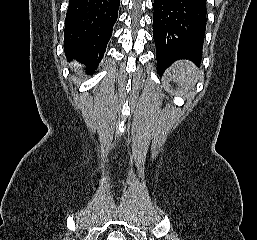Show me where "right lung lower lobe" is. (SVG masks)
I'll return each instance as SVG.
<instances>
[{
    "label": "right lung lower lobe",
    "instance_id": "obj_1",
    "mask_svg": "<svg viewBox=\"0 0 257 240\" xmlns=\"http://www.w3.org/2000/svg\"><path fill=\"white\" fill-rule=\"evenodd\" d=\"M120 0H69L64 51L94 71L103 58L117 20Z\"/></svg>",
    "mask_w": 257,
    "mask_h": 240
}]
</instances>
